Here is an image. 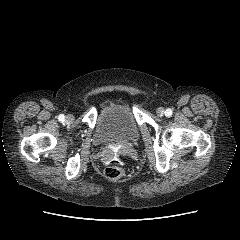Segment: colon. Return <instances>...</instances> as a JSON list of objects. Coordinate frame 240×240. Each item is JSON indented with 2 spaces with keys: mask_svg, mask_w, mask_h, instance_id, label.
Wrapping results in <instances>:
<instances>
[{
  "mask_svg": "<svg viewBox=\"0 0 240 240\" xmlns=\"http://www.w3.org/2000/svg\"><path fill=\"white\" fill-rule=\"evenodd\" d=\"M104 175L110 180H119L125 175L119 158L114 157L107 162L104 168Z\"/></svg>",
  "mask_w": 240,
  "mask_h": 240,
  "instance_id": "5ec220e1",
  "label": "colon"
}]
</instances>
